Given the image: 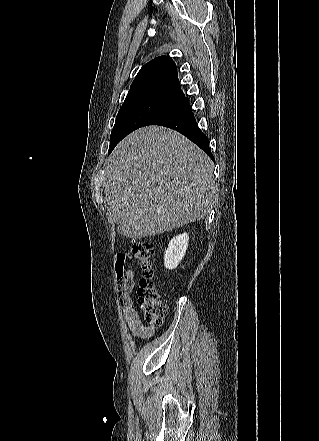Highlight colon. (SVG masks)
Wrapping results in <instances>:
<instances>
[{"label": "colon", "mask_w": 319, "mask_h": 441, "mask_svg": "<svg viewBox=\"0 0 319 441\" xmlns=\"http://www.w3.org/2000/svg\"><path fill=\"white\" fill-rule=\"evenodd\" d=\"M132 253L142 269V277L137 289L140 308L146 322L151 327H158L163 323L167 307L152 280L153 244L148 240L135 241L132 244ZM124 277V268L121 265L116 266V279L119 289L123 286Z\"/></svg>", "instance_id": "1"}]
</instances>
